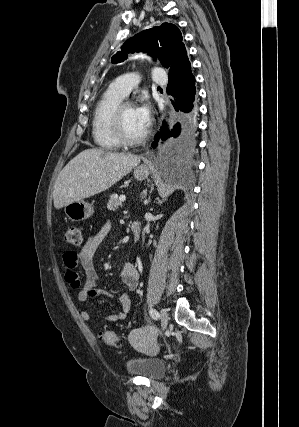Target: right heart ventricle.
I'll use <instances>...</instances> for the list:
<instances>
[{"mask_svg": "<svg viewBox=\"0 0 299 427\" xmlns=\"http://www.w3.org/2000/svg\"><path fill=\"white\" fill-rule=\"evenodd\" d=\"M123 98L110 86L95 105L92 117V137L95 145L101 150L113 151L120 147L111 130V114Z\"/></svg>", "mask_w": 299, "mask_h": 427, "instance_id": "obj_1", "label": "right heart ventricle"}]
</instances>
